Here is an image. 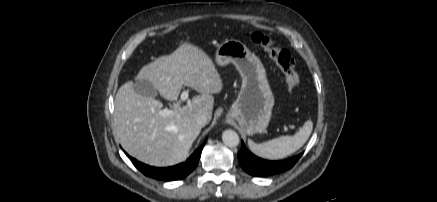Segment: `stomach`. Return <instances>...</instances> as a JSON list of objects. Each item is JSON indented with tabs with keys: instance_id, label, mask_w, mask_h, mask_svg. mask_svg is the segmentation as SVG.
<instances>
[{
	"instance_id": "0dacf381",
	"label": "stomach",
	"mask_w": 437,
	"mask_h": 202,
	"mask_svg": "<svg viewBox=\"0 0 437 202\" xmlns=\"http://www.w3.org/2000/svg\"><path fill=\"white\" fill-rule=\"evenodd\" d=\"M215 57L220 66L234 64L242 78L240 93L227 116L236 120L248 135L263 133L272 116L274 95L261 60L242 42L233 39L221 43Z\"/></svg>"
}]
</instances>
